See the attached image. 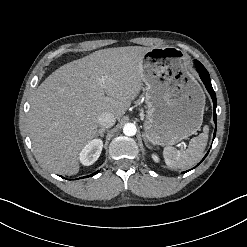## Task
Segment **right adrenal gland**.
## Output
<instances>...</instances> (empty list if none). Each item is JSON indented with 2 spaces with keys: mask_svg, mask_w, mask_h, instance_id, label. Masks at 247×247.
Here are the masks:
<instances>
[{
  "mask_svg": "<svg viewBox=\"0 0 247 247\" xmlns=\"http://www.w3.org/2000/svg\"><path fill=\"white\" fill-rule=\"evenodd\" d=\"M104 132H105V129H99L97 135L100 136L101 138H103Z\"/></svg>",
  "mask_w": 247,
  "mask_h": 247,
  "instance_id": "obj_1",
  "label": "right adrenal gland"
}]
</instances>
